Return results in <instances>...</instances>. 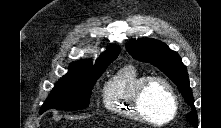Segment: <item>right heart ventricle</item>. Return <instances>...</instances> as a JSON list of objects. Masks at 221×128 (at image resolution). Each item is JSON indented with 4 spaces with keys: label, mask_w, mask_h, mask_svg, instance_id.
I'll list each match as a JSON object with an SVG mask.
<instances>
[{
    "label": "right heart ventricle",
    "mask_w": 221,
    "mask_h": 128,
    "mask_svg": "<svg viewBox=\"0 0 221 128\" xmlns=\"http://www.w3.org/2000/svg\"><path fill=\"white\" fill-rule=\"evenodd\" d=\"M148 76L149 74L132 63L120 67L105 85V107L117 116L139 120L133 97L139 84Z\"/></svg>",
    "instance_id": "e07e8e85"
}]
</instances>
